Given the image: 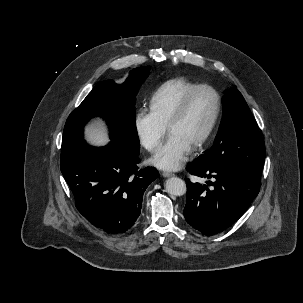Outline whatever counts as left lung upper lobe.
Listing matches in <instances>:
<instances>
[{"label": "left lung upper lobe", "mask_w": 303, "mask_h": 303, "mask_svg": "<svg viewBox=\"0 0 303 303\" xmlns=\"http://www.w3.org/2000/svg\"><path fill=\"white\" fill-rule=\"evenodd\" d=\"M223 116L212 148L195 161L223 165L261 180L265 144L257 122L236 88L222 99Z\"/></svg>", "instance_id": "obj_1"}]
</instances>
